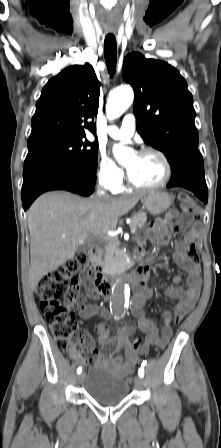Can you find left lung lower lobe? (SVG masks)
Segmentation results:
<instances>
[{
  "instance_id": "obj_1",
  "label": "left lung lower lobe",
  "mask_w": 221,
  "mask_h": 448,
  "mask_svg": "<svg viewBox=\"0 0 221 448\" xmlns=\"http://www.w3.org/2000/svg\"><path fill=\"white\" fill-rule=\"evenodd\" d=\"M167 187H184L192 191L204 203H207L208 189L205 181L202 155L190 156L188 159L178 162L171 167V179Z\"/></svg>"
}]
</instances>
